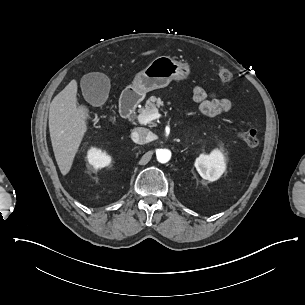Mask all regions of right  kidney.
Returning <instances> with one entry per match:
<instances>
[{
    "mask_svg": "<svg viewBox=\"0 0 305 305\" xmlns=\"http://www.w3.org/2000/svg\"><path fill=\"white\" fill-rule=\"evenodd\" d=\"M88 162L93 169H96L98 167H104L105 165H108L110 160L106 154L91 150L89 151Z\"/></svg>",
    "mask_w": 305,
    "mask_h": 305,
    "instance_id": "1",
    "label": "right kidney"
}]
</instances>
